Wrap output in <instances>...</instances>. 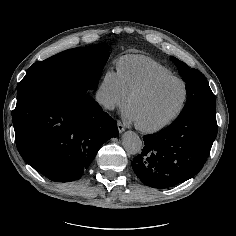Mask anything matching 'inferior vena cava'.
Returning <instances> with one entry per match:
<instances>
[{"label":"inferior vena cava","instance_id":"obj_1","mask_svg":"<svg viewBox=\"0 0 236 236\" xmlns=\"http://www.w3.org/2000/svg\"><path fill=\"white\" fill-rule=\"evenodd\" d=\"M96 100L99 104L103 106H108L111 102L110 94L108 91H105L103 89H99L96 94Z\"/></svg>","mask_w":236,"mask_h":236}]
</instances>
